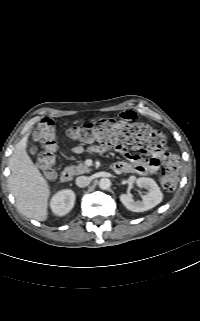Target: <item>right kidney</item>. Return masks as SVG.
<instances>
[{
	"mask_svg": "<svg viewBox=\"0 0 200 321\" xmlns=\"http://www.w3.org/2000/svg\"><path fill=\"white\" fill-rule=\"evenodd\" d=\"M75 198V193L70 189L57 192L50 201L53 213L58 216L66 215L73 208Z\"/></svg>",
	"mask_w": 200,
	"mask_h": 321,
	"instance_id": "1",
	"label": "right kidney"
}]
</instances>
